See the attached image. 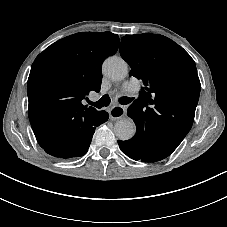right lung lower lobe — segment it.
<instances>
[{"instance_id":"obj_1","label":"right lung lower lobe","mask_w":227,"mask_h":227,"mask_svg":"<svg viewBox=\"0 0 227 227\" xmlns=\"http://www.w3.org/2000/svg\"><path fill=\"white\" fill-rule=\"evenodd\" d=\"M102 123L104 122H92L84 118L74 120L69 126L56 127L49 133L40 132L39 127L33 131L39 145L46 153L67 159L86 154L96 126Z\"/></svg>"}]
</instances>
